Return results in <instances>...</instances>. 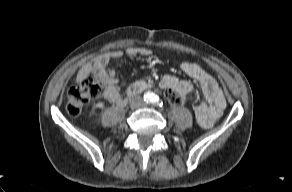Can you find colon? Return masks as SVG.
<instances>
[{"label": "colon", "mask_w": 292, "mask_h": 192, "mask_svg": "<svg viewBox=\"0 0 292 192\" xmlns=\"http://www.w3.org/2000/svg\"><path fill=\"white\" fill-rule=\"evenodd\" d=\"M106 87V81L100 74L85 78L78 86L70 88L67 94L66 110L72 116L79 115L91 99L98 97ZM168 101L173 105H182L189 102L193 105L200 104V97L194 90L180 96L168 93Z\"/></svg>", "instance_id": "5ec220e1"}]
</instances>
